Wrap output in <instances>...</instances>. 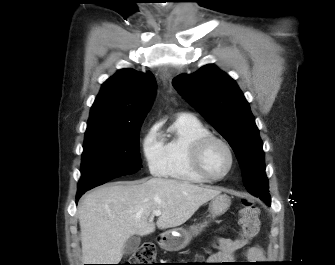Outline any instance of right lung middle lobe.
Returning a JSON list of instances; mask_svg holds the SVG:
<instances>
[{
    "label": "right lung middle lobe",
    "instance_id": "1",
    "mask_svg": "<svg viewBox=\"0 0 335 265\" xmlns=\"http://www.w3.org/2000/svg\"><path fill=\"white\" fill-rule=\"evenodd\" d=\"M141 124L118 133L85 134L78 192L119 176L134 174L142 168L139 152Z\"/></svg>",
    "mask_w": 335,
    "mask_h": 265
}]
</instances>
